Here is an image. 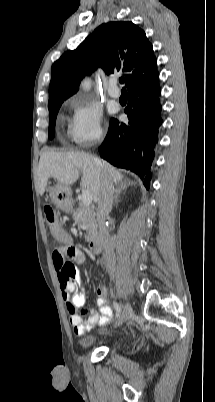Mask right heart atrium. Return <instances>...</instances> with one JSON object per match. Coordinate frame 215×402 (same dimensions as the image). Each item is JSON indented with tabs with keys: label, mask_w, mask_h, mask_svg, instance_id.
I'll list each match as a JSON object with an SVG mask.
<instances>
[{
	"label": "right heart atrium",
	"mask_w": 215,
	"mask_h": 402,
	"mask_svg": "<svg viewBox=\"0 0 215 402\" xmlns=\"http://www.w3.org/2000/svg\"><path fill=\"white\" fill-rule=\"evenodd\" d=\"M73 112L68 126V135L73 143L86 146L103 135V113L94 102L85 98H74L70 102Z\"/></svg>",
	"instance_id": "d8ad5b80"
}]
</instances>
